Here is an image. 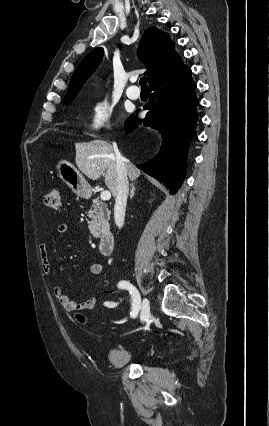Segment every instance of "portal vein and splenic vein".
Returning <instances> with one entry per match:
<instances>
[{
	"instance_id": "1",
	"label": "portal vein and splenic vein",
	"mask_w": 269,
	"mask_h": 426,
	"mask_svg": "<svg viewBox=\"0 0 269 426\" xmlns=\"http://www.w3.org/2000/svg\"><path fill=\"white\" fill-rule=\"evenodd\" d=\"M100 198L103 201H108L111 199V193L109 191H102L100 194Z\"/></svg>"
}]
</instances>
